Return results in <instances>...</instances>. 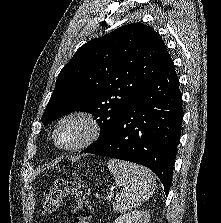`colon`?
<instances>
[{
  "mask_svg": "<svg viewBox=\"0 0 221 223\" xmlns=\"http://www.w3.org/2000/svg\"><path fill=\"white\" fill-rule=\"evenodd\" d=\"M90 195V188L76 177L57 181L45 193L42 212L53 213L60 208L64 199L72 198L76 203L73 211V223H89L93 213L89 203Z\"/></svg>",
  "mask_w": 221,
  "mask_h": 223,
  "instance_id": "colon-1",
  "label": "colon"
}]
</instances>
